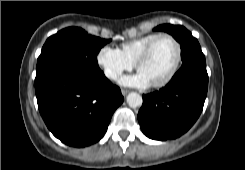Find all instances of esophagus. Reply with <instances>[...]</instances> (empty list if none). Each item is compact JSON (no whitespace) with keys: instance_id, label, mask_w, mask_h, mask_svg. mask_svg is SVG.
I'll use <instances>...</instances> for the list:
<instances>
[{"instance_id":"obj_1","label":"esophagus","mask_w":245,"mask_h":170,"mask_svg":"<svg viewBox=\"0 0 245 170\" xmlns=\"http://www.w3.org/2000/svg\"><path fill=\"white\" fill-rule=\"evenodd\" d=\"M122 95L123 96H126L128 93H129V90H126V89H122Z\"/></svg>"}]
</instances>
